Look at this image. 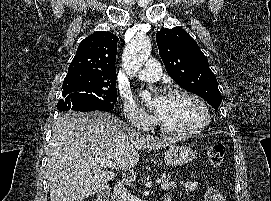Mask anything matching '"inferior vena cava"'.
I'll return each instance as SVG.
<instances>
[{"label": "inferior vena cava", "mask_w": 271, "mask_h": 201, "mask_svg": "<svg viewBox=\"0 0 271 201\" xmlns=\"http://www.w3.org/2000/svg\"><path fill=\"white\" fill-rule=\"evenodd\" d=\"M111 201H130V194L122 183L118 182L114 186Z\"/></svg>", "instance_id": "1"}]
</instances>
